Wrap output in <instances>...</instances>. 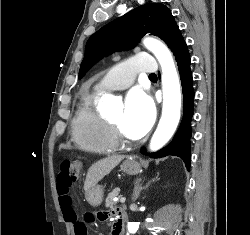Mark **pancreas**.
<instances>
[{
  "instance_id": "1",
  "label": "pancreas",
  "mask_w": 250,
  "mask_h": 235,
  "mask_svg": "<svg viewBox=\"0 0 250 235\" xmlns=\"http://www.w3.org/2000/svg\"><path fill=\"white\" fill-rule=\"evenodd\" d=\"M119 191L118 190H113L112 192H110L106 198L105 201V206L107 208H114L116 203L113 201V198L118 196Z\"/></svg>"
}]
</instances>
